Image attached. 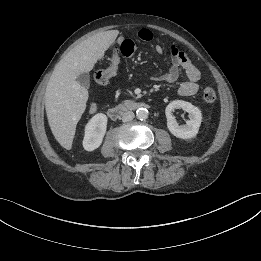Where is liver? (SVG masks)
Instances as JSON below:
<instances>
[{"label": "liver", "mask_w": 261, "mask_h": 261, "mask_svg": "<svg viewBox=\"0 0 261 261\" xmlns=\"http://www.w3.org/2000/svg\"><path fill=\"white\" fill-rule=\"evenodd\" d=\"M118 34V30H109L86 39L67 53L52 73L45 92V109L50 129L64 148L71 147L89 96L77 76L93 69Z\"/></svg>", "instance_id": "1"}]
</instances>
